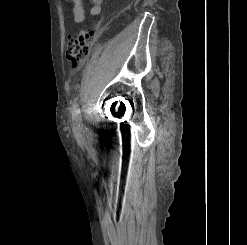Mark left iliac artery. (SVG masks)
Wrapping results in <instances>:
<instances>
[{
	"label": "left iliac artery",
	"mask_w": 247,
	"mask_h": 245,
	"mask_svg": "<svg viewBox=\"0 0 247 245\" xmlns=\"http://www.w3.org/2000/svg\"><path fill=\"white\" fill-rule=\"evenodd\" d=\"M72 119L74 121V125L78 128H80L81 123H82V118H81V111L79 108L78 103H74L73 109H72Z\"/></svg>",
	"instance_id": "obj_1"
}]
</instances>
